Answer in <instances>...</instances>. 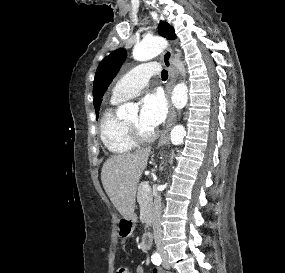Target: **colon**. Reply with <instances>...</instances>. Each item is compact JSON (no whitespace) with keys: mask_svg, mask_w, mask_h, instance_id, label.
Segmentation results:
<instances>
[{"mask_svg":"<svg viewBox=\"0 0 285 273\" xmlns=\"http://www.w3.org/2000/svg\"><path fill=\"white\" fill-rule=\"evenodd\" d=\"M117 273H130V271L126 267H119Z\"/></svg>","mask_w":285,"mask_h":273,"instance_id":"colon-1","label":"colon"}]
</instances>
